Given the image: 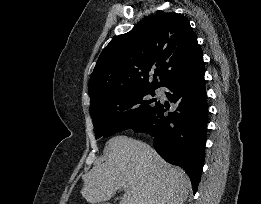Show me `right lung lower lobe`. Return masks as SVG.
I'll return each instance as SVG.
<instances>
[{"instance_id": "1", "label": "right lung lower lobe", "mask_w": 261, "mask_h": 204, "mask_svg": "<svg viewBox=\"0 0 261 204\" xmlns=\"http://www.w3.org/2000/svg\"><path fill=\"white\" fill-rule=\"evenodd\" d=\"M203 58L191 69L168 82L164 87L170 102L177 108L168 115L169 106L160 102L139 123L131 127L153 137L157 153L167 162L188 173L197 191L204 166L208 105L205 92Z\"/></svg>"}]
</instances>
